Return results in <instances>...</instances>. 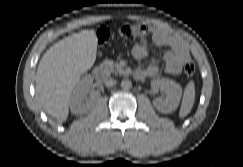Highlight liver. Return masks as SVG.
<instances>
[{
    "label": "liver",
    "mask_w": 243,
    "mask_h": 167,
    "mask_svg": "<svg viewBox=\"0 0 243 167\" xmlns=\"http://www.w3.org/2000/svg\"><path fill=\"white\" fill-rule=\"evenodd\" d=\"M97 36L83 30L50 47L36 73V93L44 110L58 122L66 121L72 91L82 74L95 63Z\"/></svg>",
    "instance_id": "6515ba94"
}]
</instances>
